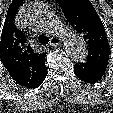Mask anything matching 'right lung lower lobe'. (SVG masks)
Instances as JSON below:
<instances>
[{"label": "right lung lower lobe", "instance_id": "obj_1", "mask_svg": "<svg viewBox=\"0 0 113 113\" xmlns=\"http://www.w3.org/2000/svg\"><path fill=\"white\" fill-rule=\"evenodd\" d=\"M45 79V78H44ZM44 79L42 80V81H40L39 83H38V85H36V87L35 88H37L38 86H40L41 85V83L44 81Z\"/></svg>", "mask_w": 113, "mask_h": 113}]
</instances>
